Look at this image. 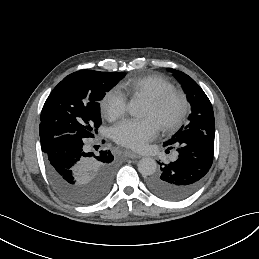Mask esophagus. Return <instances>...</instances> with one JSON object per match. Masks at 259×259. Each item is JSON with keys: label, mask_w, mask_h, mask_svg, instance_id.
Instances as JSON below:
<instances>
[{"label": "esophagus", "mask_w": 259, "mask_h": 259, "mask_svg": "<svg viewBox=\"0 0 259 259\" xmlns=\"http://www.w3.org/2000/svg\"><path fill=\"white\" fill-rule=\"evenodd\" d=\"M126 155H127V157L130 158V159H140V158H141V155L136 154V153L133 152V151H128Z\"/></svg>", "instance_id": "34e87169"}]
</instances>
